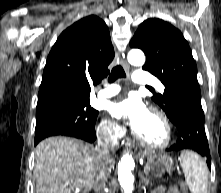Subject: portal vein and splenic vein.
I'll return each mask as SVG.
<instances>
[{"mask_svg": "<svg viewBox=\"0 0 221 193\" xmlns=\"http://www.w3.org/2000/svg\"><path fill=\"white\" fill-rule=\"evenodd\" d=\"M149 169H150L149 165H146V166H145V172L148 173V172H149Z\"/></svg>", "mask_w": 221, "mask_h": 193, "instance_id": "18ae733b", "label": "portal vein and splenic vein"}]
</instances>
